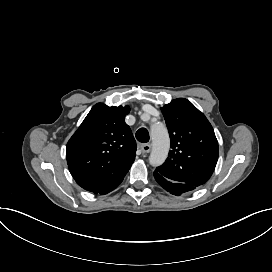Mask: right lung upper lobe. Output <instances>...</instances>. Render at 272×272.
Returning <instances> with one entry per match:
<instances>
[{
    "mask_svg": "<svg viewBox=\"0 0 272 272\" xmlns=\"http://www.w3.org/2000/svg\"><path fill=\"white\" fill-rule=\"evenodd\" d=\"M129 106L98 103L68 141V168L79 186L105 194L123 180L136 155V142L124 118Z\"/></svg>",
    "mask_w": 272,
    "mask_h": 272,
    "instance_id": "right-lung-upper-lobe-1",
    "label": "right lung upper lobe"
}]
</instances>
